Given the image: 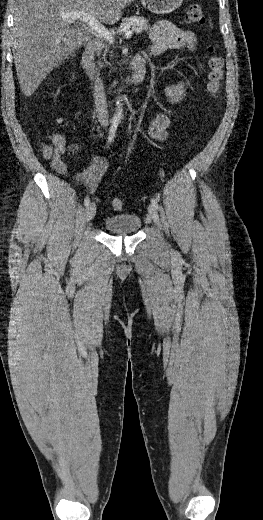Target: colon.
<instances>
[{
	"label": "colon",
	"instance_id": "1",
	"mask_svg": "<svg viewBox=\"0 0 263 520\" xmlns=\"http://www.w3.org/2000/svg\"><path fill=\"white\" fill-rule=\"evenodd\" d=\"M186 21L189 24L194 25H204L206 23L205 14L199 4H191L186 12ZM210 53L207 59V68H208V83L207 88L208 91L216 96L220 92L221 83L223 79V66L224 60L223 58L216 53V49L213 46L208 48ZM45 153L47 155L51 154V149L47 147L45 149ZM112 207L114 210L119 211L124 208V202L120 198H114L112 200Z\"/></svg>",
	"mask_w": 263,
	"mask_h": 520
}]
</instances>
